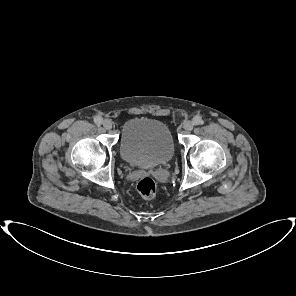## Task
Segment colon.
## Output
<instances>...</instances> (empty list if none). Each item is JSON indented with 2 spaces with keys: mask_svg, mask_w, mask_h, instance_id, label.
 <instances>
[{
  "mask_svg": "<svg viewBox=\"0 0 296 296\" xmlns=\"http://www.w3.org/2000/svg\"><path fill=\"white\" fill-rule=\"evenodd\" d=\"M156 183L150 177L142 178L137 184V190L145 198H152L156 193Z\"/></svg>",
  "mask_w": 296,
  "mask_h": 296,
  "instance_id": "colon-1",
  "label": "colon"
}]
</instances>
